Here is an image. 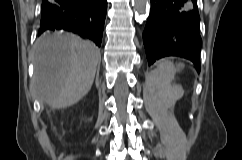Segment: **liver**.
<instances>
[{
  "label": "liver",
  "instance_id": "obj_1",
  "mask_svg": "<svg viewBox=\"0 0 242 160\" xmlns=\"http://www.w3.org/2000/svg\"><path fill=\"white\" fill-rule=\"evenodd\" d=\"M99 48L70 33L41 37L34 48L32 91L53 109L69 107L91 89Z\"/></svg>",
  "mask_w": 242,
  "mask_h": 160
}]
</instances>
